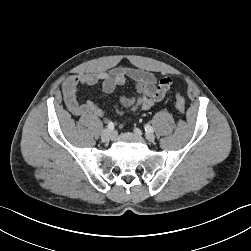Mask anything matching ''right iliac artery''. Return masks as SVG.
I'll return each mask as SVG.
<instances>
[{
	"mask_svg": "<svg viewBox=\"0 0 251 251\" xmlns=\"http://www.w3.org/2000/svg\"><path fill=\"white\" fill-rule=\"evenodd\" d=\"M108 129L110 130H113L114 129V123L113 122H108V125H107Z\"/></svg>",
	"mask_w": 251,
	"mask_h": 251,
	"instance_id": "1",
	"label": "right iliac artery"
}]
</instances>
